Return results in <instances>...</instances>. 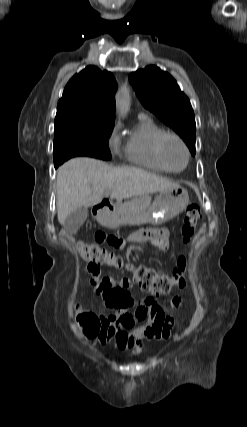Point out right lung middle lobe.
<instances>
[{"instance_id":"right-lung-middle-lobe-1","label":"right lung middle lobe","mask_w":247,"mask_h":427,"mask_svg":"<svg viewBox=\"0 0 247 427\" xmlns=\"http://www.w3.org/2000/svg\"><path fill=\"white\" fill-rule=\"evenodd\" d=\"M114 122L92 121L74 113L57 114L54 131V163L75 156L110 160L108 138Z\"/></svg>"}]
</instances>
